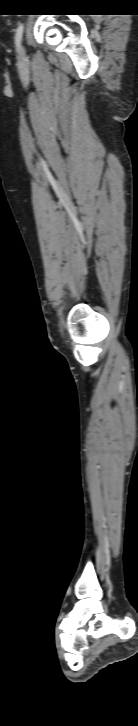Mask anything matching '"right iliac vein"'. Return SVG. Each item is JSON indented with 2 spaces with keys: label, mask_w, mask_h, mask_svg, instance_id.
Wrapping results in <instances>:
<instances>
[{
  "label": "right iliac vein",
  "mask_w": 138,
  "mask_h": 726,
  "mask_svg": "<svg viewBox=\"0 0 138 726\" xmlns=\"http://www.w3.org/2000/svg\"><path fill=\"white\" fill-rule=\"evenodd\" d=\"M19 58L20 59H23L24 58V48H21Z\"/></svg>",
  "instance_id": "right-iliac-vein-1"
}]
</instances>
